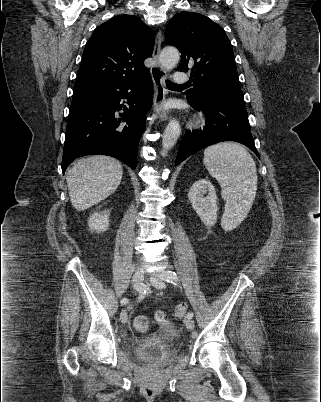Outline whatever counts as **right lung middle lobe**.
<instances>
[{"label": "right lung middle lobe", "instance_id": "dd1d6c3e", "mask_svg": "<svg viewBox=\"0 0 321 402\" xmlns=\"http://www.w3.org/2000/svg\"><path fill=\"white\" fill-rule=\"evenodd\" d=\"M84 88H87V87H74L73 92L84 89Z\"/></svg>", "mask_w": 321, "mask_h": 402}]
</instances>
